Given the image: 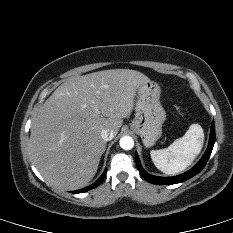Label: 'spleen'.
I'll list each match as a JSON object with an SVG mask.
<instances>
[{"label":"spleen","mask_w":233,"mask_h":233,"mask_svg":"<svg viewBox=\"0 0 233 233\" xmlns=\"http://www.w3.org/2000/svg\"><path fill=\"white\" fill-rule=\"evenodd\" d=\"M204 141L203 129L192 124L185 135L165 149L150 152L154 165L167 175H174L189 167L201 152Z\"/></svg>","instance_id":"3e777b00"}]
</instances>
